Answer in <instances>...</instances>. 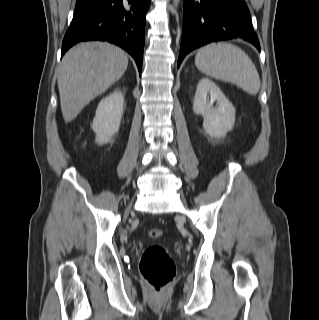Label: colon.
Segmentation results:
<instances>
[{
	"instance_id": "colon-1",
	"label": "colon",
	"mask_w": 319,
	"mask_h": 320,
	"mask_svg": "<svg viewBox=\"0 0 319 320\" xmlns=\"http://www.w3.org/2000/svg\"><path fill=\"white\" fill-rule=\"evenodd\" d=\"M161 229H150L152 239L162 237ZM140 272L153 296H161L175 275V264L166 248L160 244L147 247L140 260Z\"/></svg>"
}]
</instances>
